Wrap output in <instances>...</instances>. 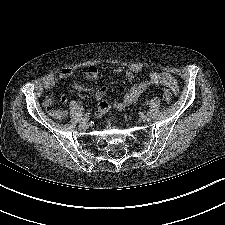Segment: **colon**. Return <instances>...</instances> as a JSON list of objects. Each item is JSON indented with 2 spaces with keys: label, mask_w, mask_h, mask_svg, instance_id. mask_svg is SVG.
Masks as SVG:
<instances>
[{
  "label": "colon",
  "mask_w": 225,
  "mask_h": 225,
  "mask_svg": "<svg viewBox=\"0 0 225 225\" xmlns=\"http://www.w3.org/2000/svg\"><path fill=\"white\" fill-rule=\"evenodd\" d=\"M163 97H164L165 100L169 101L171 99V97H172V93L169 90L164 89L163 90ZM60 113L62 115H64V112L63 111H61Z\"/></svg>",
  "instance_id": "1"
}]
</instances>
